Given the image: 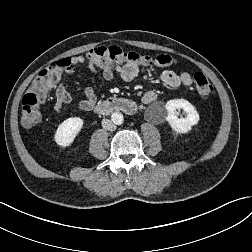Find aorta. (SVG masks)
<instances>
[{"label": "aorta", "mask_w": 252, "mask_h": 252, "mask_svg": "<svg viewBox=\"0 0 252 252\" xmlns=\"http://www.w3.org/2000/svg\"><path fill=\"white\" fill-rule=\"evenodd\" d=\"M111 118H112L113 123H115L117 125H121L124 122V117H123L122 113H120V112L112 113Z\"/></svg>", "instance_id": "762f6f07"}]
</instances>
